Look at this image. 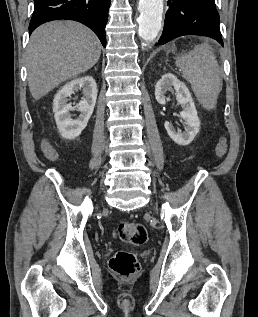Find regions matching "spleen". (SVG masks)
<instances>
[{"instance_id":"1","label":"spleen","mask_w":258,"mask_h":317,"mask_svg":"<svg viewBox=\"0 0 258 317\" xmlns=\"http://www.w3.org/2000/svg\"><path fill=\"white\" fill-rule=\"evenodd\" d=\"M176 66L183 68V76L191 82L199 102L212 110L222 88L219 64L209 44H195L193 50L176 58Z\"/></svg>"}]
</instances>
